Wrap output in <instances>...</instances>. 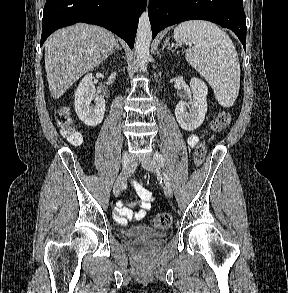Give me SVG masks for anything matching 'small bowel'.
Listing matches in <instances>:
<instances>
[{
	"instance_id": "1",
	"label": "small bowel",
	"mask_w": 288,
	"mask_h": 293,
	"mask_svg": "<svg viewBox=\"0 0 288 293\" xmlns=\"http://www.w3.org/2000/svg\"><path fill=\"white\" fill-rule=\"evenodd\" d=\"M197 142L198 137L194 134L190 135L187 139V143L190 147H194ZM133 187L135 189L136 198L140 200V209L134 213L129 208L135 204L134 202H120L116 209V220L120 224H124L127 220L131 219H142L151 208V202L153 201L151 192L136 181L133 182Z\"/></svg>"
}]
</instances>
